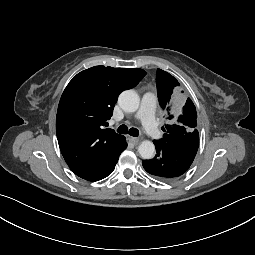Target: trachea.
I'll return each instance as SVG.
<instances>
[{
	"label": "trachea",
	"instance_id": "1",
	"mask_svg": "<svg viewBox=\"0 0 255 255\" xmlns=\"http://www.w3.org/2000/svg\"><path fill=\"white\" fill-rule=\"evenodd\" d=\"M117 132L120 134H129L131 136L137 137L139 135V131L136 128H130L128 129V127L126 125H121L118 129Z\"/></svg>",
	"mask_w": 255,
	"mask_h": 255
}]
</instances>
